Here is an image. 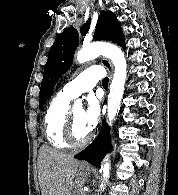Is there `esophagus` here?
Masks as SVG:
<instances>
[{"label":"esophagus","mask_w":178,"mask_h":195,"mask_svg":"<svg viewBox=\"0 0 178 195\" xmlns=\"http://www.w3.org/2000/svg\"><path fill=\"white\" fill-rule=\"evenodd\" d=\"M102 64L106 67L107 71L109 72L110 79H111L112 78V75H113V66H112V63L108 59L103 58L102 59ZM80 165L81 166H89V164L86 161L81 162Z\"/></svg>","instance_id":"34e87169"}]
</instances>
